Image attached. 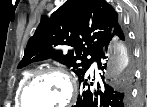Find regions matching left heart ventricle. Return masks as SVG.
<instances>
[{
	"label": "left heart ventricle",
	"instance_id": "left-heart-ventricle-1",
	"mask_svg": "<svg viewBox=\"0 0 147 107\" xmlns=\"http://www.w3.org/2000/svg\"><path fill=\"white\" fill-rule=\"evenodd\" d=\"M68 84L59 75L40 76L28 89L26 102L30 107H55L68 97Z\"/></svg>",
	"mask_w": 147,
	"mask_h": 107
}]
</instances>
